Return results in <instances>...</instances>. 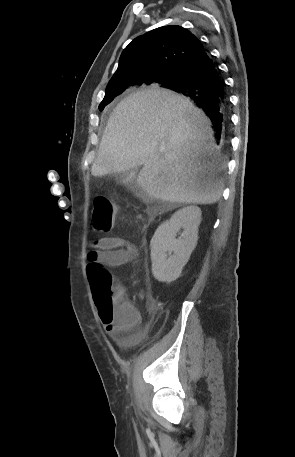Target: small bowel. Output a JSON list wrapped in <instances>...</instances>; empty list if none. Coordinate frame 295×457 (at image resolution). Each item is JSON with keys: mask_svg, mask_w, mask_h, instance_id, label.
Segmentation results:
<instances>
[{"mask_svg": "<svg viewBox=\"0 0 295 457\" xmlns=\"http://www.w3.org/2000/svg\"><path fill=\"white\" fill-rule=\"evenodd\" d=\"M137 256L135 246L117 236L102 237L93 243L88 252V260L96 261L109 267H119L133 261ZM101 319V318H100ZM141 320L139 312L125 300V309L119 317L101 322L105 331L113 338H127V333Z\"/></svg>", "mask_w": 295, "mask_h": 457, "instance_id": "small-bowel-1", "label": "small bowel"}]
</instances>
